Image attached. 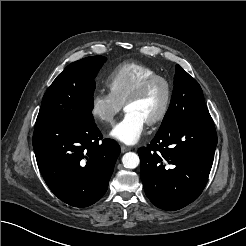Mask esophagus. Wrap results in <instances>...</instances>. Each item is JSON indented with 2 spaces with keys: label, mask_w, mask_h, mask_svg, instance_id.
<instances>
[{
  "label": "esophagus",
  "mask_w": 246,
  "mask_h": 246,
  "mask_svg": "<svg viewBox=\"0 0 246 246\" xmlns=\"http://www.w3.org/2000/svg\"><path fill=\"white\" fill-rule=\"evenodd\" d=\"M120 148H121V152L122 153H125V152H127V151H129L131 149L130 147L125 146V145H121Z\"/></svg>",
  "instance_id": "34e87169"
}]
</instances>
